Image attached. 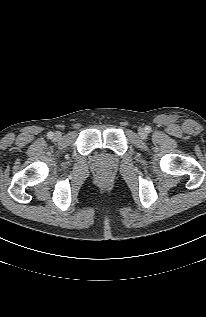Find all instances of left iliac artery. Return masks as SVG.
<instances>
[{
	"instance_id": "1",
	"label": "left iliac artery",
	"mask_w": 206,
	"mask_h": 317,
	"mask_svg": "<svg viewBox=\"0 0 206 317\" xmlns=\"http://www.w3.org/2000/svg\"><path fill=\"white\" fill-rule=\"evenodd\" d=\"M147 132L149 133L151 131V128L150 127H147L146 128Z\"/></svg>"
}]
</instances>
